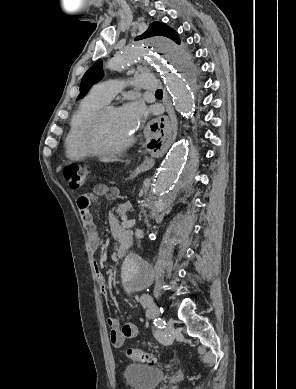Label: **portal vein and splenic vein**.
<instances>
[{"label":"portal vein and splenic vein","instance_id":"obj_1","mask_svg":"<svg viewBox=\"0 0 296 389\" xmlns=\"http://www.w3.org/2000/svg\"><path fill=\"white\" fill-rule=\"evenodd\" d=\"M122 225L124 227H127V228H131L135 225V220H127V219H124L123 222H122Z\"/></svg>","mask_w":296,"mask_h":389}]
</instances>
